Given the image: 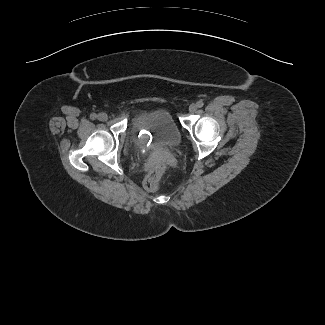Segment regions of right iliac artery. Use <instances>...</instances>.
Here are the masks:
<instances>
[{
    "instance_id": "1",
    "label": "right iliac artery",
    "mask_w": 325,
    "mask_h": 325,
    "mask_svg": "<svg viewBox=\"0 0 325 325\" xmlns=\"http://www.w3.org/2000/svg\"><path fill=\"white\" fill-rule=\"evenodd\" d=\"M90 118H91L92 120H95V119L97 118V115H96L95 113H92V114L90 115Z\"/></svg>"
}]
</instances>
